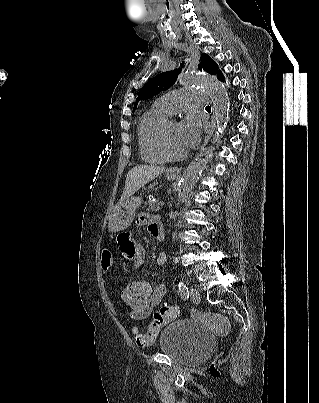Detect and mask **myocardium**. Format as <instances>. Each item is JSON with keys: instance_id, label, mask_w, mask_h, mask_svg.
Wrapping results in <instances>:
<instances>
[{"instance_id": "obj_1", "label": "myocardium", "mask_w": 319, "mask_h": 403, "mask_svg": "<svg viewBox=\"0 0 319 403\" xmlns=\"http://www.w3.org/2000/svg\"><path fill=\"white\" fill-rule=\"evenodd\" d=\"M169 122L170 121L167 120L160 129L159 136H158V148L166 160L180 161V160H183L184 158H186L187 152L184 151L181 153H174L169 148V145L167 142V129H168Z\"/></svg>"}]
</instances>
